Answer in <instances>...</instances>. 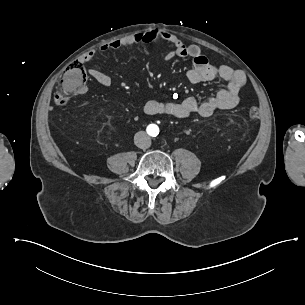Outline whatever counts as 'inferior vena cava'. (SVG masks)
<instances>
[{
	"label": "inferior vena cava",
	"mask_w": 305,
	"mask_h": 305,
	"mask_svg": "<svg viewBox=\"0 0 305 305\" xmlns=\"http://www.w3.org/2000/svg\"><path fill=\"white\" fill-rule=\"evenodd\" d=\"M134 143L138 148L147 149L151 146V139L144 131H139L134 136Z\"/></svg>",
	"instance_id": "1"
}]
</instances>
